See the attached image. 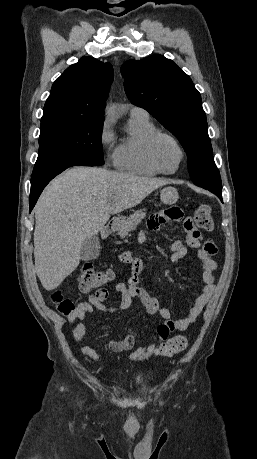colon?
Wrapping results in <instances>:
<instances>
[{"instance_id":"5ec220e1","label":"colon","mask_w":257,"mask_h":459,"mask_svg":"<svg viewBox=\"0 0 257 459\" xmlns=\"http://www.w3.org/2000/svg\"><path fill=\"white\" fill-rule=\"evenodd\" d=\"M193 220L196 223L195 229L197 227L205 231H211L213 229V218L210 206H199L194 213ZM109 278L110 274L108 272L97 271L91 263H86L78 273L77 282L83 292L95 290L97 297L104 300L107 298L108 293L102 285ZM51 299L62 314H70L76 309V304L72 300L64 298L60 291H55ZM187 344L188 339L185 335H176L163 342L155 352L160 357H168L182 352L187 347Z\"/></svg>"}]
</instances>
